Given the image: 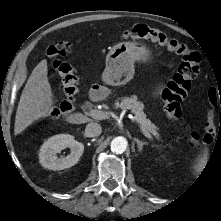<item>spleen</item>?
<instances>
[{"label":"spleen","instance_id":"obj_1","mask_svg":"<svg viewBox=\"0 0 221 221\" xmlns=\"http://www.w3.org/2000/svg\"><path fill=\"white\" fill-rule=\"evenodd\" d=\"M208 156H209L208 148H204L202 154L197 158L196 164L194 165V169L196 170V172H199L203 169V167L207 162Z\"/></svg>","mask_w":221,"mask_h":221}]
</instances>
